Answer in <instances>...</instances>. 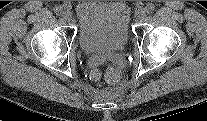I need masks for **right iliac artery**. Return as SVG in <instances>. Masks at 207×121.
<instances>
[{"label":"right iliac artery","mask_w":207,"mask_h":121,"mask_svg":"<svg viewBox=\"0 0 207 121\" xmlns=\"http://www.w3.org/2000/svg\"><path fill=\"white\" fill-rule=\"evenodd\" d=\"M54 12L57 14V15H62L63 14V7H61V6H56L55 8H54Z\"/></svg>","instance_id":"obj_1"}]
</instances>
